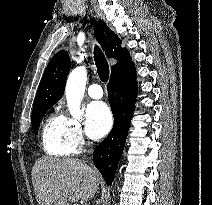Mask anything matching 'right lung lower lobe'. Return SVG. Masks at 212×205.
<instances>
[{
  "label": "right lung lower lobe",
  "instance_id": "1",
  "mask_svg": "<svg viewBox=\"0 0 212 205\" xmlns=\"http://www.w3.org/2000/svg\"><path fill=\"white\" fill-rule=\"evenodd\" d=\"M107 87L114 125L108 136L95 149L93 163L107 185H110L124 149L137 96L136 70L133 62L112 72Z\"/></svg>",
  "mask_w": 212,
  "mask_h": 205
}]
</instances>
